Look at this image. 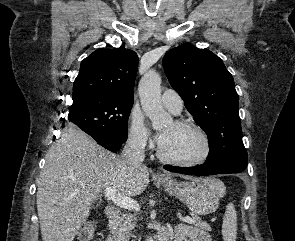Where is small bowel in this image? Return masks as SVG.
I'll use <instances>...</instances> for the list:
<instances>
[{
  "label": "small bowel",
  "mask_w": 295,
  "mask_h": 241,
  "mask_svg": "<svg viewBox=\"0 0 295 241\" xmlns=\"http://www.w3.org/2000/svg\"><path fill=\"white\" fill-rule=\"evenodd\" d=\"M175 239V241H210L204 231L190 226H178L175 230Z\"/></svg>",
  "instance_id": "1"
}]
</instances>
